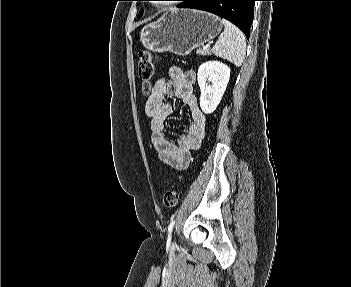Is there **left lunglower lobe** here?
<instances>
[{
  "instance_id": "1",
  "label": "left lung lower lobe",
  "mask_w": 351,
  "mask_h": 287,
  "mask_svg": "<svg viewBox=\"0 0 351 287\" xmlns=\"http://www.w3.org/2000/svg\"><path fill=\"white\" fill-rule=\"evenodd\" d=\"M177 7L207 11L229 20L249 38L253 8L257 0H181Z\"/></svg>"
}]
</instances>
